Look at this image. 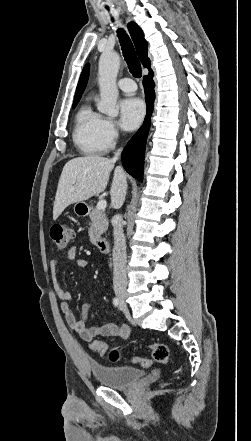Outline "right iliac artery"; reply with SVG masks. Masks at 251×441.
<instances>
[{"instance_id":"obj_1","label":"right iliac artery","mask_w":251,"mask_h":441,"mask_svg":"<svg viewBox=\"0 0 251 441\" xmlns=\"http://www.w3.org/2000/svg\"><path fill=\"white\" fill-rule=\"evenodd\" d=\"M113 305H114L115 307H117V306L119 305V299H118L117 297H115V298L113 299Z\"/></svg>"}]
</instances>
